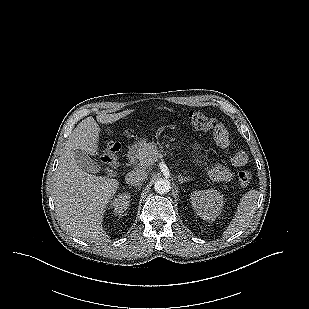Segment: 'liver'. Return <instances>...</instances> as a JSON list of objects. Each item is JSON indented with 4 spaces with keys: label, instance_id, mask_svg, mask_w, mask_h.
<instances>
[{
    "label": "liver",
    "instance_id": "obj_1",
    "mask_svg": "<svg viewBox=\"0 0 309 309\" xmlns=\"http://www.w3.org/2000/svg\"><path fill=\"white\" fill-rule=\"evenodd\" d=\"M125 110L116 114L97 116L98 122L111 124L132 113ZM100 128L93 117L82 120L70 135L60 155L53 184L55 211L63 227L73 237L97 245L109 241L102 227L108 202L118 189L119 182L87 173L76 162L75 151L87 154L98 152Z\"/></svg>",
    "mask_w": 309,
    "mask_h": 309
}]
</instances>
